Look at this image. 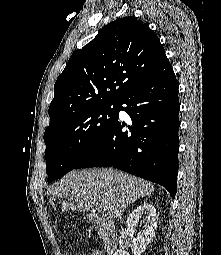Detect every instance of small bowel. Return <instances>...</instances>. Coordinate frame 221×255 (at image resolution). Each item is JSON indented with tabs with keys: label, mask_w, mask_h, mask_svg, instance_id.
<instances>
[{
	"label": "small bowel",
	"mask_w": 221,
	"mask_h": 255,
	"mask_svg": "<svg viewBox=\"0 0 221 255\" xmlns=\"http://www.w3.org/2000/svg\"><path fill=\"white\" fill-rule=\"evenodd\" d=\"M91 255H103L101 251H94Z\"/></svg>",
	"instance_id": "small-bowel-1"
}]
</instances>
